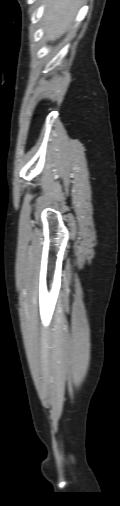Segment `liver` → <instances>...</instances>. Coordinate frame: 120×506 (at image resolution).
Returning <instances> with one entry per match:
<instances>
[{
    "label": "liver",
    "mask_w": 120,
    "mask_h": 506,
    "mask_svg": "<svg viewBox=\"0 0 120 506\" xmlns=\"http://www.w3.org/2000/svg\"><path fill=\"white\" fill-rule=\"evenodd\" d=\"M81 0H50L44 16L48 40L59 39L71 26Z\"/></svg>",
    "instance_id": "obj_1"
}]
</instances>
